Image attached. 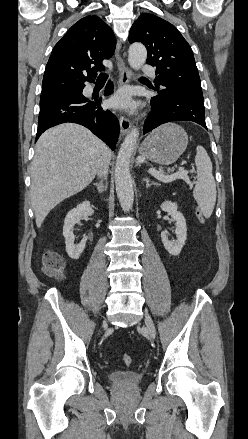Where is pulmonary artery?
Here are the masks:
<instances>
[{
  "label": "pulmonary artery",
  "instance_id": "1",
  "mask_svg": "<svg viewBox=\"0 0 248 439\" xmlns=\"http://www.w3.org/2000/svg\"><path fill=\"white\" fill-rule=\"evenodd\" d=\"M142 73L147 75V76H150L152 78H155V76H156L154 69L149 65L142 66Z\"/></svg>",
  "mask_w": 248,
  "mask_h": 439
}]
</instances>
